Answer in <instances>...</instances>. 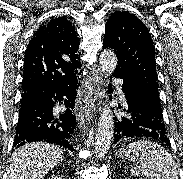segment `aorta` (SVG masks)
<instances>
[{"label":"aorta","instance_id":"1","mask_svg":"<svg viewBox=\"0 0 183 179\" xmlns=\"http://www.w3.org/2000/svg\"><path fill=\"white\" fill-rule=\"evenodd\" d=\"M100 66L104 73H113L117 66V58L113 51L104 50L100 55ZM114 121L108 105L102 111L98 122L95 141V153L97 158H103L110 148L113 137Z\"/></svg>","mask_w":183,"mask_h":179}]
</instances>
